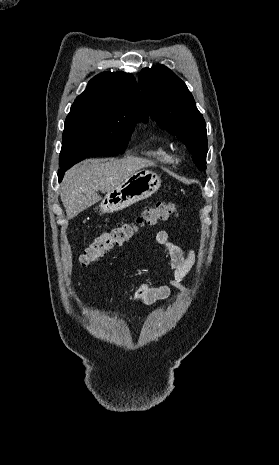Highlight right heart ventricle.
I'll list each match as a JSON object with an SVG mask.
<instances>
[{
    "label": "right heart ventricle",
    "instance_id": "obj_1",
    "mask_svg": "<svg viewBox=\"0 0 279 465\" xmlns=\"http://www.w3.org/2000/svg\"><path fill=\"white\" fill-rule=\"evenodd\" d=\"M150 155L155 157L157 160L163 163H170L172 162V155L170 151L161 144H155L147 151Z\"/></svg>",
    "mask_w": 279,
    "mask_h": 465
}]
</instances>
